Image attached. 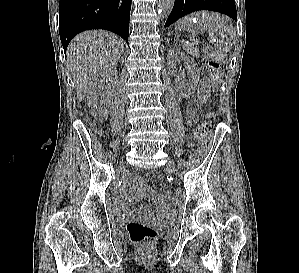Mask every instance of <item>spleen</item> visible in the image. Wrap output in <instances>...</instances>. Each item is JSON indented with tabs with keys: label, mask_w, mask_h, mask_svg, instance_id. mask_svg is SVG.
I'll return each mask as SVG.
<instances>
[{
	"label": "spleen",
	"mask_w": 299,
	"mask_h": 273,
	"mask_svg": "<svg viewBox=\"0 0 299 273\" xmlns=\"http://www.w3.org/2000/svg\"><path fill=\"white\" fill-rule=\"evenodd\" d=\"M198 21L203 24L209 32L210 42L217 49L226 53L230 51L232 41L236 36V30L233 26L228 25V20L218 13L201 11L191 14L179 21L178 30L191 22Z\"/></svg>",
	"instance_id": "1"
}]
</instances>
